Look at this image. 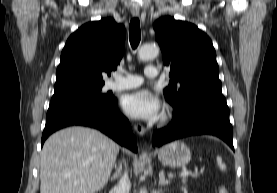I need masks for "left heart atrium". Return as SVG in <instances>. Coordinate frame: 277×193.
Segmentation results:
<instances>
[{
  "label": "left heart atrium",
  "instance_id": "obj_1",
  "mask_svg": "<svg viewBox=\"0 0 277 193\" xmlns=\"http://www.w3.org/2000/svg\"><path fill=\"white\" fill-rule=\"evenodd\" d=\"M122 107L127 115L135 119L155 120L161 110L158 97L147 90H139L127 94L122 101Z\"/></svg>",
  "mask_w": 277,
  "mask_h": 193
}]
</instances>
